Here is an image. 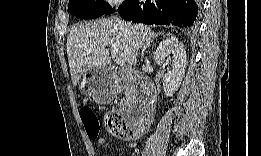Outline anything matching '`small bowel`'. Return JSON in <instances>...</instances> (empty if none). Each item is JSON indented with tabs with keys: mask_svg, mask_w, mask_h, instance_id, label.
<instances>
[{
	"mask_svg": "<svg viewBox=\"0 0 261 156\" xmlns=\"http://www.w3.org/2000/svg\"><path fill=\"white\" fill-rule=\"evenodd\" d=\"M98 144H99L100 146H102V147L108 146V144H109L108 138H106V137H101V138H99ZM135 146H136L135 144H131V145H130V148H131V149H134Z\"/></svg>",
	"mask_w": 261,
	"mask_h": 156,
	"instance_id": "obj_1",
	"label": "small bowel"
}]
</instances>
